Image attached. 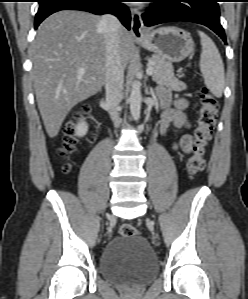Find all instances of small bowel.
<instances>
[{
    "label": "small bowel",
    "instance_id": "small-bowel-1",
    "mask_svg": "<svg viewBox=\"0 0 248 299\" xmlns=\"http://www.w3.org/2000/svg\"><path fill=\"white\" fill-rule=\"evenodd\" d=\"M158 95L163 109L160 130L164 131L171 124L177 127H188V122L184 115V110L188 102L184 98L173 99L171 91L167 87H159ZM193 137L191 134L183 135L178 141L174 142L172 148L176 151L189 153L192 150Z\"/></svg>",
    "mask_w": 248,
    "mask_h": 299
}]
</instances>
